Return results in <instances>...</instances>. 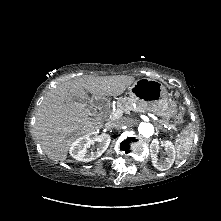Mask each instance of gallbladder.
Here are the masks:
<instances>
[{
	"mask_svg": "<svg viewBox=\"0 0 221 221\" xmlns=\"http://www.w3.org/2000/svg\"><path fill=\"white\" fill-rule=\"evenodd\" d=\"M72 99L77 102H84V100H81L80 98L72 97Z\"/></svg>",
	"mask_w": 221,
	"mask_h": 221,
	"instance_id": "obj_1",
	"label": "gallbladder"
}]
</instances>
